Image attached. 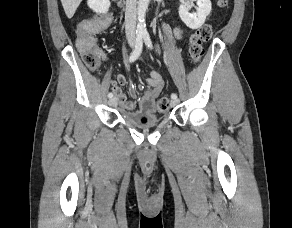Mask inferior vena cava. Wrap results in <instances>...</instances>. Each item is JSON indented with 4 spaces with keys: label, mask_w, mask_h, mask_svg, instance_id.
Returning a JSON list of instances; mask_svg holds the SVG:
<instances>
[{
    "label": "inferior vena cava",
    "mask_w": 292,
    "mask_h": 228,
    "mask_svg": "<svg viewBox=\"0 0 292 228\" xmlns=\"http://www.w3.org/2000/svg\"><path fill=\"white\" fill-rule=\"evenodd\" d=\"M137 0H126L125 11V31L129 42L135 41L136 20H137Z\"/></svg>",
    "instance_id": "inferior-vena-cava-1"
}]
</instances>
